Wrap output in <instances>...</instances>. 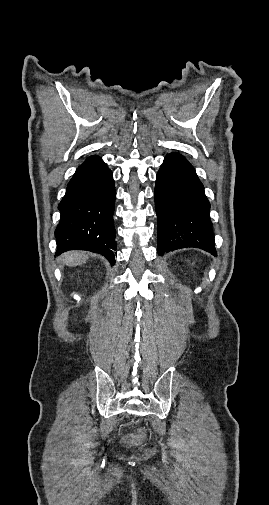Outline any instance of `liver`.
I'll list each match as a JSON object with an SVG mask.
<instances>
[{
    "label": "liver",
    "mask_w": 269,
    "mask_h": 505,
    "mask_svg": "<svg viewBox=\"0 0 269 505\" xmlns=\"http://www.w3.org/2000/svg\"><path fill=\"white\" fill-rule=\"evenodd\" d=\"M88 255L84 252L71 251L64 253L59 257V260L67 266H78L85 263Z\"/></svg>",
    "instance_id": "1"
}]
</instances>
